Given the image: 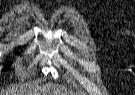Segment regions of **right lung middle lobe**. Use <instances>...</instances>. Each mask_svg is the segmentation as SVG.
I'll use <instances>...</instances> for the list:
<instances>
[{
  "instance_id": "right-lung-middle-lobe-1",
  "label": "right lung middle lobe",
  "mask_w": 135,
  "mask_h": 95,
  "mask_svg": "<svg viewBox=\"0 0 135 95\" xmlns=\"http://www.w3.org/2000/svg\"><path fill=\"white\" fill-rule=\"evenodd\" d=\"M9 68H10V65H9V66H6V67L3 69V71L8 70Z\"/></svg>"
}]
</instances>
